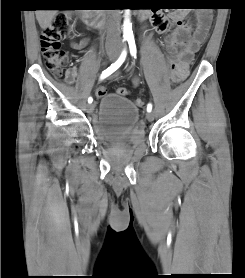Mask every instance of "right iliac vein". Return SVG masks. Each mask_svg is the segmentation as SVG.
Listing matches in <instances>:
<instances>
[{
    "mask_svg": "<svg viewBox=\"0 0 245 278\" xmlns=\"http://www.w3.org/2000/svg\"><path fill=\"white\" fill-rule=\"evenodd\" d=\"M118 50L117 49H111L108 51V59L109 61H114V59L117 57ZM95 105L94 104H89L87 106V112L92 113L94 111Z\"/></svg>",
    "mask_w": 245,
    "mask_h": 278,
    "instance_id": "1",
    "label": "right iliac vein"
}]
</instances>
